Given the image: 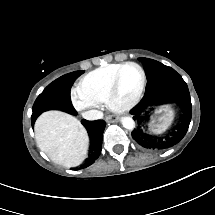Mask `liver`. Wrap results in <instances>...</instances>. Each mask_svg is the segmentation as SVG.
Masks as SVG:
<instances>
[{
    "label": "liver",
    "instance_id": "obj_1",
    "mask_svg": "<svg viewBox=\"0 0 215 215\" xmlns=\"http://www.w3.org/2000/svg\"><path fill=\"white\" fill-rule=\"evenodd\" d=\"M35 139L52 161L67 168L80 165L87 157V131L77 118L65 112L42 113L35 123Z\"/></svg>",
    "mask_w": 215,
    "mask_h": 215
}]
</instances>
